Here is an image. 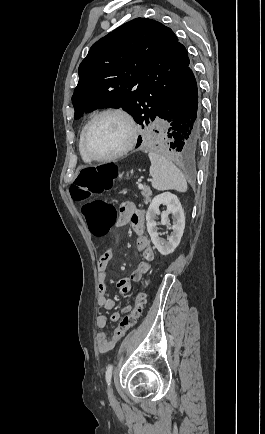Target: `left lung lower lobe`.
I'll return each instance as SVG.
<instances>
[{"label":"left lung lower lobe","mask_w":265,"mask_h":434,"mask_svg":"<svg viewBox=\"0 0 265 434\" xmlns=\"http://www.w3.org/2000/svg\"><path fill=\"white\" fill-rule=\"evenodd\" d=\"M156 118L169 125L167 143L169 150L174 149L183 155H192L198 149L201 134L198 88L191 65L161 102ZM138 143L142 142L141 137ZM137 144L136 147H139Z\"/></svg>","instance_id":"1"}]
</instances>
